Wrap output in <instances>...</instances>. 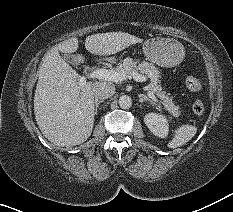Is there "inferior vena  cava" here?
Segmentation results:
<instances>
[{
  "label": "inferior vena cava",
  "mask_w": 233,
  "mask_h": 212,
  "mask_svg": "<svg viewBox=\"0 0 233 212\" xmlns=\"http://www.w3.org/2000/svg\"><path fill=\"white\" fill-rule=\"evenodd\" d=\"M92 93L96 99L110 98L115 93V88L105 83H94L92 86Z\"/></svg>",
  "instance_id": "602c4592"
}]
</instances>
